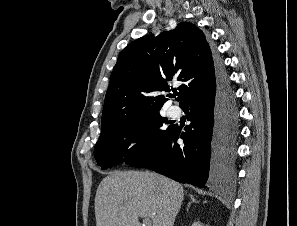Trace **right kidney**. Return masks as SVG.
<instances>
[{"label": "right kidney", "instance_id": "ca27d5eb", "mask_svg": "<svg viewBox=\"0 0 297 226\" xmlns=\"http://www.w3.org/2000/svg\"><path fill=\"white\" fill-rule=\"evenodd\" d=\"M192 226H203L200 222H195L192 224Z\"/></svg>", "mask_w": 297, "mask_h": 226}]
</instances>
